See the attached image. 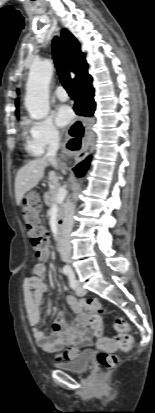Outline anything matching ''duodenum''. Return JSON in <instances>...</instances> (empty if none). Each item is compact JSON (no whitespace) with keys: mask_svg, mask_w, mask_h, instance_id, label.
Listing matches in <instances>:
<instances>
[{"mask_svg":"<svg viewBox=\"0 0 155 413\" xmlns=\"http://www.w3.org/2000/svg\"><path fill=\"white\" fill-rule=\"evenodd\" d=\"M62 234H63V224L60 223L57 227L56 231V247L59 253H62L63 246H62Z\"/></svg>","mask_w":155,"mask_h":413,"instance_id":"1","label":"duodenum"}]
</instances>
